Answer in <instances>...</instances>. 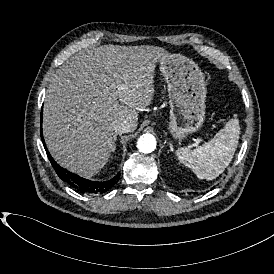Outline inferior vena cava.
<instances>
[{"mask_svg": "<svg viewBox=\"0 0 274 274\" xmlns=\"http://www.w3.org/2000/svg\"><path fill=\"white\" fill-rule=\"evenodd\" d=\"M137 124L131 120L125 119L123 121H117L114 126L115 133L122 134L132 132L136 129Z\"/></svg>", "mask_w": 274, "mask_h": 274, "instance_id": "602c4592", "label": "inferior vena cava"}]
</instances>
